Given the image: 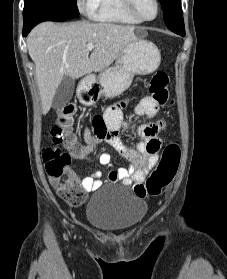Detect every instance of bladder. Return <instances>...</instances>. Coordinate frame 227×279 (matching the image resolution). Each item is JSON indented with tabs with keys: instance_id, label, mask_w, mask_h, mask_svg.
<instances>
[{
	"instance_id": "1",
	"label": "bladder",
	"mask_w": 227,
	"mask_h": 279,
	"mask_svg": "<svg viewBox=\"0 0 227 279\" xmlns=\"http://www.w3.org/2000/svg\"><path fill=\"white\" fill-rule=\"evenodd\" d=\"M146 209V204L129 188L108 185L92 196L86 210V220L106 231H124L137 226Z\"/></svg>"
}]
</instances>
